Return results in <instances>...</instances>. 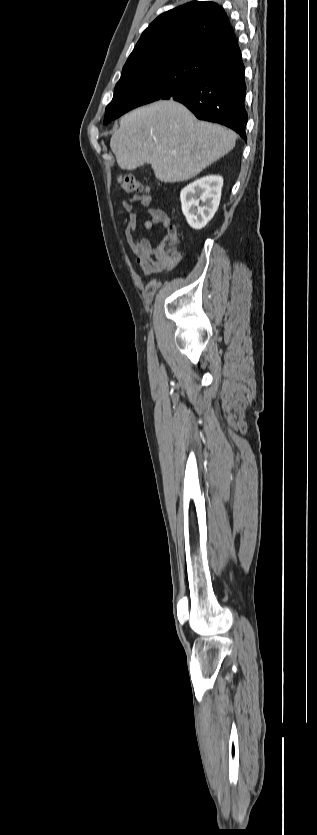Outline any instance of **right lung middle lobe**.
Here are the masks:
<instances>
[{"label": "right lung middle lobe", "instance_id": "obj_1", "mask_svg": "<svg viewBox=\"0 0 317 835\" xmlns=\"http://www.w3.org/2000/svg\"><path fill=\"white\" fill-rule=\"evenodd\" d=\"M204 76L195 56L123 75L116 84L111 103L106 107L104 124L135 107L162 99L183 86L200 81Z\"/></svg>", "mask_w": 317, "mask_h": 835}]
</instances>
